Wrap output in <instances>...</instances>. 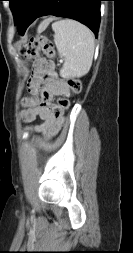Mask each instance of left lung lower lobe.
Returning <instances> with one entry per match:
<instances>
[{
  "instance_id": "obj_1",
  "label": "left lung lower lobe",
  "mask_w": 133,
  "mask_h": 253,
  "mask_svg": "<svg viewBox=\"0 0 133 253\" xmlns=\"http://www.w3.org/2000/svg\"><path fill=\"white\" fill-rule=\"evenodd\" d=\"M103 0H26L21 10L17 30L24 35L38 17L54 15L75 19L88 26L96 35L100 24V2Z\"/></svg>"
}]
</instances>
